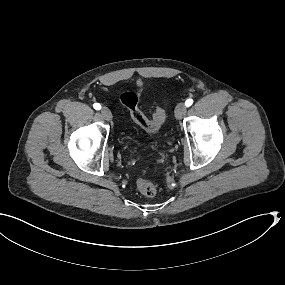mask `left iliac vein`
Returning <instances> with one entry per match:
<instances>
[{
  "label": "left iliac vein",
  "mask_w": 285,
  "mask_h": 285,
  "mask_svg": "<svg viewBox=\"0 0 285 285\" xmlns=\"http://www.w3.org/2000/svg\"><path fill=\"white\" fill-rule=\"evenodd\" d=\"M187 112V108L184 103L180 102L175 108V116L177 119H182Z\"/></svg>",
  "instance_id": "obj_1"
}]
</instances>
